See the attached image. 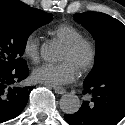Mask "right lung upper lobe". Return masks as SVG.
<instances>
[{
  "instance_id": "obj_1",
  "label": "right lung upper lobe",
  "mask_w": 125,
  "mask_h": 125,
  "mask_svg": "<svg viewBox=\"0 0 125 125\" xmlns=\"http://www.w3.org/2000/svg\"><path fill=\"white\" fill-rule=\"evenodd\" d=\"M0 11L6 12L15 20L27 21L39 14V9L31 8L18 0H0Z\"/></svg>"
}]
</instances>
